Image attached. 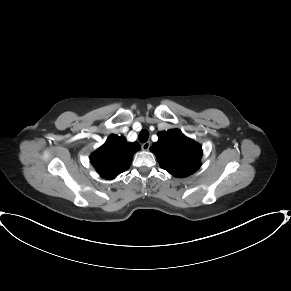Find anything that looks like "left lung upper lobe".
I'll return each mask as SVG.
<instances>
[{
	"instance_id": "left-lung-upper-lobe-1",
	"label": "left lung upper lobe",
	"mask_w": 291,
	"mask_h": 291,
	"mask_svg": "<svg viewBox=\"0 0 291 291\" xmlns=\"http://www.w3.org/2000/svg\"><path fill=\"white\" fill-rule=\"evenodd\" d=\"M158 138L150 150L156 155L161 168L175 177H186L200 167L201 146L180 130L159 132Z\"/></svg>"
}]
</instances>
